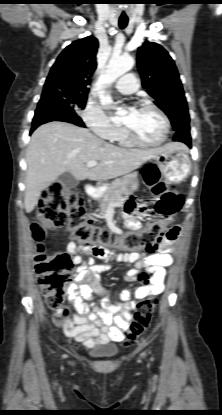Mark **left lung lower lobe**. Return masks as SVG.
Returning a JSON list of instances; mask_svg holds the SVG:
<instances>
[{
  "mask_svg": "<svg viewBox=\"0 0 222 415\" xmlns=\"http://www.w3.org/2000/svg\"><path fill=\"white\" fill-rule=\"evenodd\" d=\"M173 140L183 142L191 148L190 129H182L176 131Z\"/></svg>",
  "mask_w": 222,
  "mask_h": 415,
  "instance_id": "left-lung-lower-lobe-1",
  "label": "left lung lower lobe"
}]
</instances>
